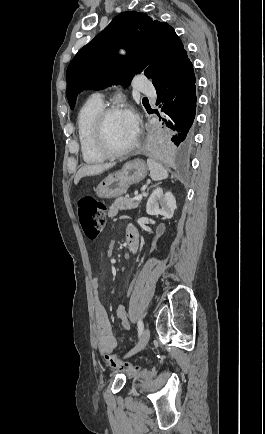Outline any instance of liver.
<instances>
[{"mask_svg": "<svg viewBox=\"0 0 265 434\" xmlns=\"http://www.w3.org/2000/svg\"><path fill=\"white\" fill-rule=\"evenodd\" d=\"M115 166V162L112 164H95V166H82L80 170H78L77 174H75L74 184H78L81 178H85V176H98V174H103L105 170H109V168H113Z\"/></svg>", "mask_w": 265, "mask_h": 434, "instance_id": "1", "label": "liver"}]
</instances>
